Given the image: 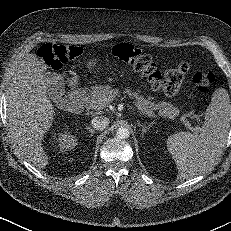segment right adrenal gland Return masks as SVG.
I'll return each instance as SVG.
<instances>
[{
  "label": "right adrenal gland",
  "mask_w": 231,
  "mask_h": 231,
  "mask_svg": "<svg viewBox=\"0 0 231 231\" xmlns=\"http://www.w3.org/2000/svg\"><path fill=\"white\" fill-rule=\"evenodd\" d=\"M85 129L90 133L91 137L93 136V134H95V130L94 129H91L90 127H86Z\"/></svg>",
  "instance_id": "2a0ac1e0"
}]
</instances>
